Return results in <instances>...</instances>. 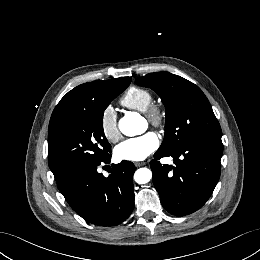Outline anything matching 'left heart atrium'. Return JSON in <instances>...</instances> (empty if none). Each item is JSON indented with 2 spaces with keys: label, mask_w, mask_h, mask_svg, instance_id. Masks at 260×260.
<instances>
[{
  "label": "left heart atrium",
  "mask_w": 260,
  "mask_h": 260,
  "mask_svg": "<svg viewBox=\"0 0 260 260\" xmlns=\"http://www.w3.org/2000/svg\"><path fill=\"white\" fill-rule=\"evenodd\" d=\"M159 138L153 132L121 142L115 148V156L119 160L142 161L159 146Z\"/></svg>",
  "instance_id": "39dd6f15"
}]
</instances>
